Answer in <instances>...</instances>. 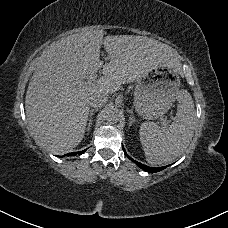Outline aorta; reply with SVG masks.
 <instances>
[{"mask_svg":"<svg viewBox=\"0 0 228 228\" xmlns=\"http://www.w3.org/2000/svg\"><path fill=\"white\" fill-rule=\"evenodd\" d=\"M106 120L109 123H116L119 120V113L116 108H110L106 113Z\"/></svg>","mask_w":228,"mask_h":228,"instance_id":"762f6f07","label":"aorta"}]
</instances>
